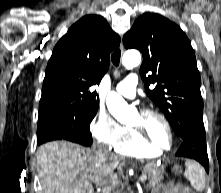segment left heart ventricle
Listing matches in <instances>:
<instances>
[{"label": "left heart ventricle", "mask_w": 221, "mask_h": 193, "mask_svg": "<svg viewBox=\"0 0 221 193\" xmlns=\"http://www.w3.org/2000/svg\"><path fill=\"white\" fill-rule=\"evenodd\" d=\"M143 125L149 138L162 148H168L170 137L164 123L156 116L142 118L139 113L135 115L130 125Z\"/></svg>", "instance_id": "b2bd125f"}]
</instances>
